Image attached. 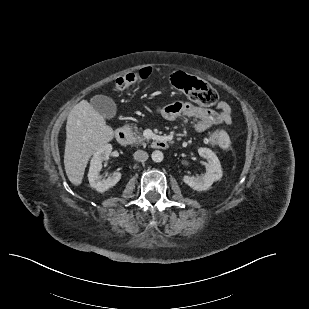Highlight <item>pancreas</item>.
<instances>
[{
    "label": "pancreas",
    "mask_w": 309,
    "mask_h": 309,
    "mask_svg": "<svg viewBox=\"0 0 309 309\" xmlns=\"http://www.w3.org/2000/svg\"><path fill=\"white\" fill-rule=\"evenodd\" d=\"M129 127V126H127ZM130 128V127H129ZM131 130H133V135H134V139H133V144L135 146H140V145H143L145 146L146 145V142L148 141V139H146L145 137H143V135L141 134V130L138 129L136 126L134 127H131L130 128Z\"/></svg>",
    "instance_id": "obj_1"
}]
</instances>
